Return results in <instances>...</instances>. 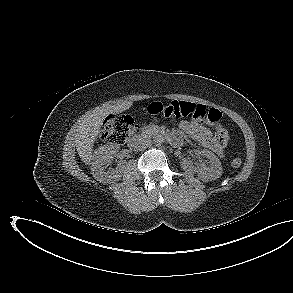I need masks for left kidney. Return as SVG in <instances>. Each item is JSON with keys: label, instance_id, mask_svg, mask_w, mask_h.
I'll list each match as a JSON object with an SVG mask.
<instances>
[{"label": "left kidney", "instance_id": "obj_1", "mask_svg": "<svg viewBox=\"0 0 293 293\" xmlns=\"http://www.w3.org/2000/svg\"><path fill=\"white\" fill-rule=\"evenodd\" d=\"M197 153L206 157L209 161V166L202 164L199 166H194L192 161L189 159H182L181 168L185 170L188 174L197 173L198 177L202 181L216 180L222 175V165L218 157L211 151L207 149L197 150Z\"/></svg>", "mask_w": 293, "mask_h": 293}]
</instances>
